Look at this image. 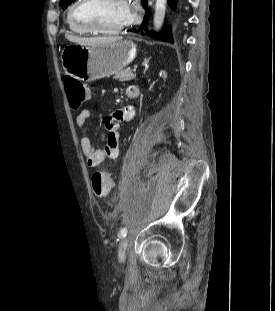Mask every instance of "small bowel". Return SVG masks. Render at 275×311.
Wrapping results in <instances>:
<instances>
[{
    "label": "small bowel",
    "mask_w": 275,
    "mask_h": 311,
    "mask_svg": "<svg viewBox=\"0 0 275 311\" xmlns=\"http://www.w3.org/2000/svg\"><path fill=\"white\" fill-rule=\"evenodd\" d=\"M127 96L131 100L140 97V90L136 86L127 89ZM135 108L132 105L124 106L113 112L105 122L106 131L102 133L103 146L96 149L90 138L87 136V121L90 117V110H82L76 117L78 134L80 135V147L86 163L90 167L100 165L106 158H116L119 153L120 126L123 122L133 119Z\"/></svg>",
    "instance_id": "1"
}]
</instances>
